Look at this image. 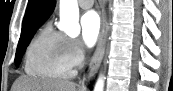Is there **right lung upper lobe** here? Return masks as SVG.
Masks as SVG:
<instances>
[{"label":"right lung upper lobe","instance_id":"cb5924a9","mask_svg":"<svg viewBox=\"0 0 173 91\" xmlns=\"http://www.w3.org/2000/svg\"><path fill=\"white\" fill-rule=\"evenodd\" d=\"M55 4V0H30L23 19L22 32L42 25L53 12Z\"/></svg>","mask_w":173,"mask_h":91}]
</instances>
